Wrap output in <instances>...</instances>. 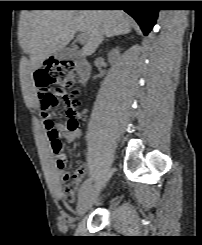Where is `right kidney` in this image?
I'll use <instances>...</instances> for the list:
<instances>
[{
	"label": "right kidney",
	"instance_id": "1",
	"mask_svg": "<svg viewBox=\"0 0 202 245\" xmlns=\"http://www.w3.org/2000/svg\"><path fill=\"white\" fill-rule=\"evenodd\" d=\"M120 51L119 48H115L113 50H111L108 54V60L109 62L113 63L117 60V58L119 57Z\"/></svg>",
	"mask_w": 202,
	"mask_h": 245
}]
</instances>
